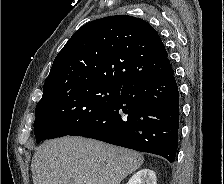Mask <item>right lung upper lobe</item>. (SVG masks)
I'll return each mask as SVG.
<instances>
[{
	"mask_svg": "<svg viewBox=\"0 0 224 184\" xmlns=\"http://www.w3.org/2000/svg\"><path fill=\"white\" fill-rule=\"evenodd\" d=\"M172 70L149 23L128 15L104 17L79 28L58 53L40 101L81 83L126 85Z\"/></svg>",
	"mask_w": 224,
	"mask_h": 184,
	"instance_id": "obj_1",
	"label": "right lung upper lobe"
}]
</instances>
